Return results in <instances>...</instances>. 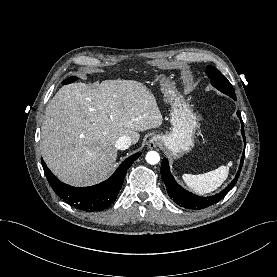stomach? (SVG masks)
<instances>
[{
	"label": "stomach",
	"mask_w": 277,
	"mask_h": 277,
	"mask_svg": "<svg viewBox=\"0 0 277 277\" xmlns=\"http://www.w3.org/2000/svg\"><path fill=\"white\" fill-rule=\"evenodd\" d=\"M171 79V76L165 74L154 77L171 105L172 130L167 134H157L153 139L160 142L173 157L179 158L194 147L199 122L192 107L174 87Z\"/></svg>",
	"instance_id": "stomach-1"
}]
</instances>
